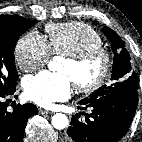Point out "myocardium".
Returning a JSON list of instances; mask_svg holds the SVG:
<instances>
[{"label": "myocardium", "instance_id": "1", "mask_svg": "<svg viewBox=\"0 0 142 142\" xmlns=\"http://www.w3.org/2000/svg\"><path fill=\"white\" fill-rule=\"evenodd\" d=\"M94 59H99L101 61V70L97 77L89 82H74L75 88L79 92L90 93L96 91L105 84L112 69L111 54L107 49L101 46L82 51L76 55L66 56V60L77 67L83 66Z\"/></svg>", "mask_w": 142, "mask_h": 142}]
</instances>
